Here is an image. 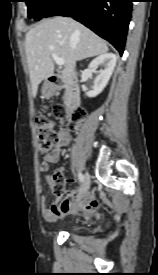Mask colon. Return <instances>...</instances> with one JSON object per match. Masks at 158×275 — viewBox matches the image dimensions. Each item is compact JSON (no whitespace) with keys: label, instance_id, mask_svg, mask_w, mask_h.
Here are the masks:
<instances>
[{"label":"colon","instance_id":"5ec220e1","mask_svg":"<svg viewBox=\"0 0 158 275\" xmlns=\"http://www.w3.org/2000/svg\"><path fill=\"white\" fill-rule=\"evenodd\" d=\"M54 115L61 122L71 129H76L79 122L84 118V111H78L72 116L67 114L63 106L54 108ZM36 139L38 149L41 153H47L58 139V133L55 131L53 120L43 114H39L35 118ZM66 177L61 171H57L52 175V190L55 196L61 197L64 193V184Z\"/></svg>","mask_w":158,"mask_h":275}]
</instances>
